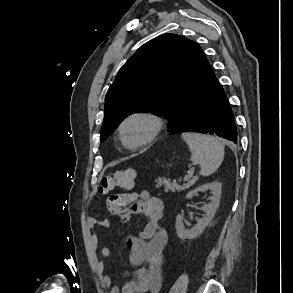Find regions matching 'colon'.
Here are the masks:
<instances>
[{"label": "colon", "mask_w": 293, "mask_h": 293, "mask_svg": "<svg viewBox=\"0 0 293 293\" xmlns=\"http://www.w3.org/2000/svg\"><path fill=\"white\" fill-rule=\"evenodd\" d=\"M136 172L133 169L114 170L105 175L99 186L101 193H108L117 188L130 189L133 187Z\"/></svg>", "instance_id": "5ec220e1"}]
</instances>
